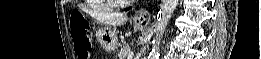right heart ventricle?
<instances>
[{
	"mask_svg": "<svg viewBox=\"0 0 261 59\" xmlns=\"http://www.w3.org/2000/svg\"><path fill=\"white\" fill-rule=\"evenodd\" d=\"M97 2H99L101 5H103L104 3L103 2H105V1H97ZM108 8H112L113 6L111 5V4H105Z\"/></svg>",
	"mask_w": 261,
	"mask_h": 59,
	"instance_id": "1",
	"label": "right heart ventricle"
}]
</instances>
